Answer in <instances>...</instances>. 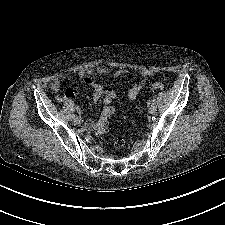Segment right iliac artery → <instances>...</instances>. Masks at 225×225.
<instances>
[{
  "label": "right iliac artery",
  "instance_id": "obj_1",
  "mask_svg": "<svg viewBox=\"0 0 225 225\" xmlns=\"http://www.w3.org/2000/svg\"><path fill=\"white\" fill-rule=\"evenodd\" d=\"M75 118H76V116L73 114V115H72V119H75Z\"/></svg>",
  "mask_w": 225,
  "mask_h": 225
}]
</instances>
